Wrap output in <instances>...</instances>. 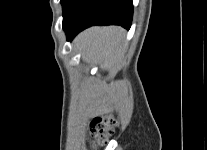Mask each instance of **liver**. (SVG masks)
Here are the masks:
<instances>
[{
    "label": "liver",
    "instance_id": "6515ba94",
    "mask_svg": "<svg viewBox=\"0 0 207 150\" xmlns=\"http://www.w3.org/2000/svg\"><path fill=\"white\" fill-rule=\"evenodd\" d=\"M124 36L125 30L118 26L92 27L80 33L74 44L82 52L84 61L100 64L106 70L120 58ZM73 105L84 119L111 109L102 88L92 83H83L75 90Z\"/></svg>",
    "mask_w": 207,
    "mask_h": 150
}]
</instances>
